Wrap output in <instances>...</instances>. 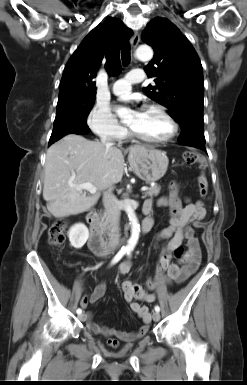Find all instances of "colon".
<instances>
[{"instance_id": "5ec220e1", "label": "colon", "mask_w": 247, "mask_h": 385, "mask_svg": "<svg viewBox=\"0 0 247 385\" xmlns=\"http://www.w3.org/2000/svg\"><path fill=\"white\" fill-rule=\"evenodd\" d=\"M184 161L187 164H195L198 163L201 168V172L198 175V186L199 193L202 197H205L208 192V180L205 170V158L203 155L187 151L183 155ZM68 222L65 219H58L54 222L49 230V242L53 246H61L65 241V231L67 229ZM174 255L176 258H181L183 255V249L178 247L174 250ZM170 265V260L168 257H165L158 265V271L161 273L167 272ZM125 290L132 292L133 294H138V289L133 284H127L125 286Z\"/></svg>"}]
</instances>
